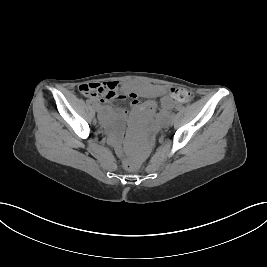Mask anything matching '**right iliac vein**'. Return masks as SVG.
Masks as SVG:
<instances>
[{
  "label": "right iliac vein",
  "mask_w": 267,
  "mask_h": 267,
  "mask_svg": "<svg viewBox=\"0 0 267 267\" xmlns=\"http://www.w3.org/2000/svg\"><path fill=\"white\" fill-rule=\"evenodd\" d=\"M94 109H95L96 112H98V111H99V106L96 105V106L94 107Z\"/></svg>",
  "instance_id": "right-iliac-vein-1"
}]
</instances>
